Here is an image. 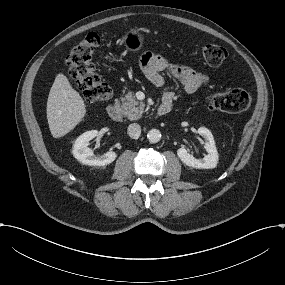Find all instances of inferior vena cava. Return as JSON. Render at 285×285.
Segmentation results:
<instances>
[{
  "label": "inferior vena cava",
  "instance_id": "1",
  "mask_svg": "<svg viewBox=\"0 0 285 285\" xmlns=\"http://www.w3.org/2000/svg\"><path fill=\"white\" fill-rule=\"evenodd\" d=\"M128 134L133 139H138L141 134V127L137 123H131L128 126Z\"/></svg>",
  "mask_w": 285,
  "mask_h": 285
}]
</instances>
